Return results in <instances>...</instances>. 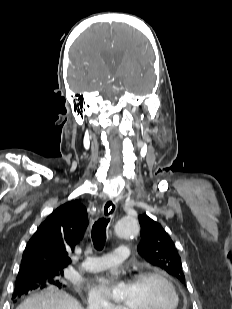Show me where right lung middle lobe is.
<instances>
[{"instance_id":"1","label":"right lung middle lobe","mask_w":232,"mask_h":309,"mask_svg":"<svg viewBox=\"0 0 232 309\" xmlns=\"http://www.w3.org/2000/svg\"><path fill=\"white\" fill-rule=\"evenodd\" d=\"M62 273L63 270H49L38 272L20 270L15 282V286H19L21 284H26L33 280H36L41 288L47 286L60 287L62 285Z\"/></svg>"}]
</instances>
